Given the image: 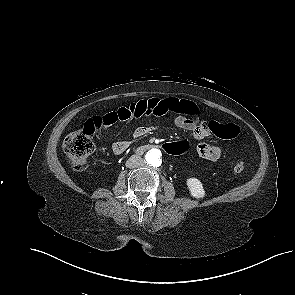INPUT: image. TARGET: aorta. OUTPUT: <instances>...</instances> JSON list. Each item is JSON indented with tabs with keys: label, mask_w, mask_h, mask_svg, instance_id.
Here are the masks:
<instances>
[{
	"label": "aorta",
	"mask_w": 295,
	"mask_h": 295,
	"mask_svg": "<svg viewBox=\"0 0 295 295\" xmlns=\"http://www.w3.org/2000/svg\"><path fill=\"white\" fill-rule=\"evenodd\" d=\"M145 159L153 167H159L162 163L161 152L158 149L148 151Z\"/></svg>",
	"instance_id": "aorta-1"
}]
</instances>
